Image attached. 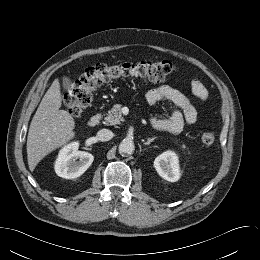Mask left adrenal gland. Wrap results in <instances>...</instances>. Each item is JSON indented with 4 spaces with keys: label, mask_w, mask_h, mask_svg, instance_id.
Instances as JSON below:
<instances>
[{
    "label": "left adrenal gland",
    "mask_w": 260,
    "mask_h": 260,
    "mask_svg": "<svg viewBox=\"0 0 260 260\" xmlns=\"http://www.w3.org/2000/svg\"><path fill=\"white\" fill-rule=\"evenodd\" d=\"M156 139V137L148 138L147 141H144V145H150L151 142H153Z\"/></svg>",
    "instance_id": "obj_1"
}]
</instances>
